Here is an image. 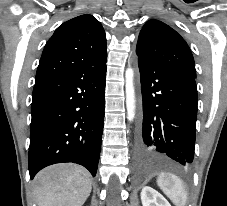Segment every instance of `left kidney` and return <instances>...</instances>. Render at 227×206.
I'll return each instance as SVG.
<instances>
[{
  "label": "left kidney",
  "mask_w": 227,
  "mask_h": 206,
  "mask_svg": "<svg viewBox=\"0 0 227 206\" xmlns=\"http://www.w3.org/2000/svg\"><path fill=\"white\" fill-rule=\"evenodd\" d=\"M141 201L143 206H171L160 193L147 186L141 191Z\"/></svg>",
  "instance_id": "obj_1"
}]
</instances>
